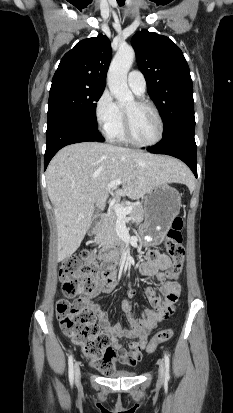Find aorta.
I'll return each mask as SVG.
<instances>
[{
	"mask_svg": "<svg viewBox=\"0 0 233 413\" xmlns=\"http://www.w3.org/2000/svg\"><path fill=\"white\" fill-rule=\"evenodd\" d=\"M134 58L135 51L132 47H121L114 56L108 70V87L120 106L134 102V96L127 85V74Z\"/></svg>",
	"mask_w": 233,
	"mask_h": 413,
	"instance_id": "obj_1",
	"label": "aorta"
}]
</instances>
